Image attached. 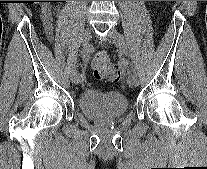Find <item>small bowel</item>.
<instances>
[{"mask_svg":"<svg viewBox=\"0 0 207 169\" xmlns=\"http://www.w3.org/2000/svg\"><path fill=\"white\" fill-rule=\"evenodd\" d=\"M40 18L44 26L45 34L49 41L53 40L52 14L48 8H43L40 12Z\"/></svg>","mask_w":207,"mask_h":169,"instance_id":"c3829d8e","label":"small bowel"}]
</instances>
